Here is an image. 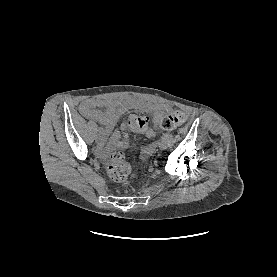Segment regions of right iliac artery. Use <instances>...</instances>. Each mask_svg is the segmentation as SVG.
<instances>
[{"label": "right iliac artery", "instance_id": "1", "mask_svg": "<svg viewBox=\"0 0 277 277\" xmlns=\"http://www.w3.org/2000/svg\"><path fill=\"white\" fill-rule=\"evenodd\" d=\"M101 134H102V133H101V131L99 130V131L97 132L96 135H97V137H101Z\"/></svg>", "mask_w": 277, "mask_h": 277}]
</instances>
